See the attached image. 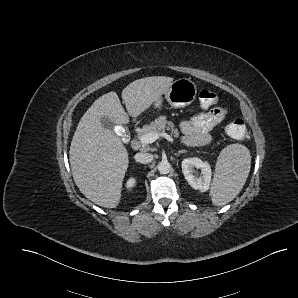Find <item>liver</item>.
I'll list each match as a JSON object with an SVG mask.
<instances>
[{"instance_id": "1", "label": "liver", "mask_w": 298, "mask_h": 298, "mask_svg": "<svg viewBox=\"0 0 298 298\" xmlns=\"http://www.w3.org/2000/svg\"><path fill=\"white\" fill-rule=\"evenodd\" d=\"M173 78L150 76L131 82L122 91L124 110L116 92L94 101L80 119L72 138L69 160L74 182L89 200L103 207H115L128 167V154L121 139L100 124L106 115L116 124L128 122V114L139 113L157 101Z\"/></svg>"}]
</instances>
